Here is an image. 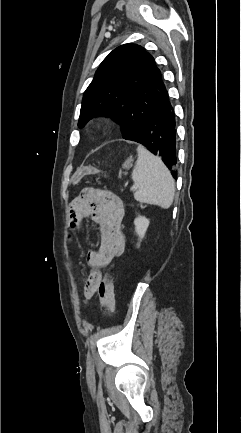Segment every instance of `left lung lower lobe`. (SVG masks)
Wrapping results in <instances>:
<instances>
[{
    "instance_id": "obj_1",
    "label": "left lung lower lobe",
    "mask_w": 241,
    "mask_h": 433,
    "mask_svg": "<svg viewBox=\"0 0 241 433\" xmlns=\"http://www.w3.org/2000/svg\"><path fill=\"white\" fill-rule=\"evenodd\" d=\"M126 140L135 141L146 146L154 155L166 164L176 179V115L168 93L149 118Z\"/></svg>"
}]
</instances>
